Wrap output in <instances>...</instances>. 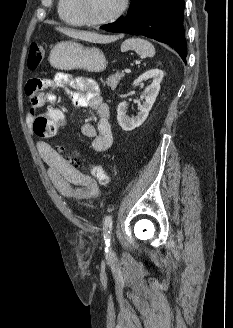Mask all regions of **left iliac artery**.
I'll return each instance as SVG.
<instances>
[{
    "mask_svg": "<svg viewBox=\"0 0 233 328\" xmlns=\"http://www.w3.org/2000/svg\"><path fill=\"white\" fill-rule=\"evenodd\" d=\"M112 216L108 215L105 218L104 221V226H103V230H104V240L106 242V245L109 246V242H110V234L112 231ZM106 251H108V249L106 248Z\"/></svg>",
    "mask_w": 233,
    "mask_h": 328,
    "instance_id": "1",
    "label": "left iliac artery"
}]
</instances>
